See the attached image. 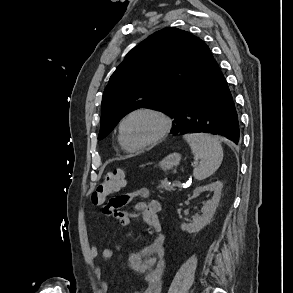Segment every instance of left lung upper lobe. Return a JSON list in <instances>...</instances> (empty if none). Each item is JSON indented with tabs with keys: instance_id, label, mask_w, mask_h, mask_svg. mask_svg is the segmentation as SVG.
<instances>
[{
	"instance_id": "5c2ea615",
	"label": "left lung upper lobe",
	"mask_w": 293,
	"mask_h": 293,
	"mask_svg": "<svg viewBox=\"0 0 293 293\" xmlns=\"http://www.w3.org/2000/svg\"><path fill=\"white\" fill-rule=\"evenodd\" d=\"M213 61L209 47L189 32L170 27L150 35L110 77L102 97L98 139L142 107L165 110L176 124L184 102L207 79Z\"/></svg>"
}]
</instances>
